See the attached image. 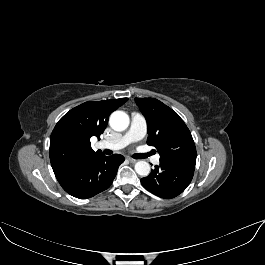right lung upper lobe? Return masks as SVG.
Masks as SVG:
<instances>
[{
  "label": "right lung upper lobe",
  "instance_id": "1",
  "mask_svg": "<svg viewBox=\"0 0 265 265\" xmlns=\"http://www.w3.org/2000/svg\"><path fill=\"white\" fill-rule=\"evenodd\" d=\"M128 98L85 102L67 112L56 124L50 137V161L58 175L96 155L90 138L104 132L110 114Z\"/></svg>",
  "mask_w": 265,
  "mask_h": 265
}]
</instances>
